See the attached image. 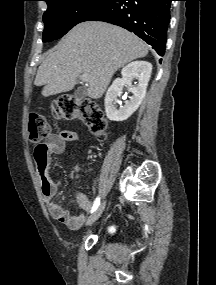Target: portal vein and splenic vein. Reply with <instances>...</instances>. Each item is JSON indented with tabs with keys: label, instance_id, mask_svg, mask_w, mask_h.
<instances>
[{
	"label": "portal vein and splenic vein",
	"instance_id": "18ae733b",
	"mask_svg": "<svg viewBox=\"0 0 216 285\" xmlns=\"http://www.w3.org/2000/svg\"><path fill=\"white\" fill-rule=\"evenodd\" d=\"M82 81H86V78L84 76H81Z\"/></svg>",
	"mask_w": 216,
	"mask_h": 285
}]
</instances>
